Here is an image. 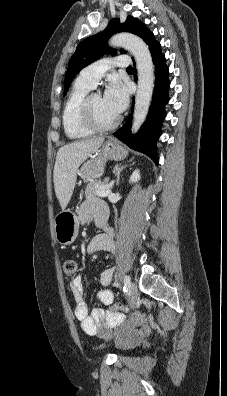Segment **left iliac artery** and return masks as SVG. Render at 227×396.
<instances>
[{
    "label": "left iliac artery",
    "instance_id": "1",
    "mask_svg": "<svg viewBox=\"0 0 227 396\" xmlns=\"http://www.w3.org/2000/svg\"><path fill=\"white\" fill-rule=\"evenodd\" d=\"M123 283H124L123 291L126 293L128 292L130 287V277L128 275L124 277Z\"/></svg>",
    "mask_w": 227,
    "mask_h": 396
}]
</instances>
